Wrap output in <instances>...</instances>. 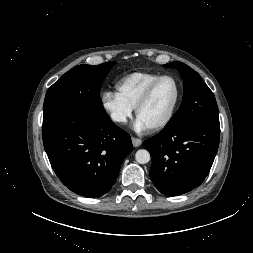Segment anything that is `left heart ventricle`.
<instances>
[{"instance_id": "obj_1", "label": "left heart ventricle", "mask_w": 253, "mask_h": 253, "mask_svg": "<svg viewBox=\"0 0 253 253\" xmlns=\"http://www.w3.org/2000/svg\"><path fill=\"white\" fill-rule=\"evenodd\" d=\"M176 85L172 79L161 81L147 104L140 110L138 119L147 127L161 122L169 113L176 97Z\"/></svg>"}]
</instances>
